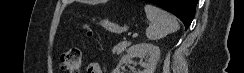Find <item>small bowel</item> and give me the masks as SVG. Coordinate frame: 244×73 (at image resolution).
I'll list each match as a JSON object with an SVG mask.
<instances>
[{"label":"small bowel","instance_id":"c3829d8e","mask_svg":"<svg viewBox=\"0 0 244 73\" xmlns=\"http://www.w3.org/2000/svg\"><path fill=\"white\" fill-rule=\"evenodd\" d=\"M87 73H102L100 65L96 62H92L87 66Z\"/></svg>","mask_w":244,"mask_h":73}]
</instances>
